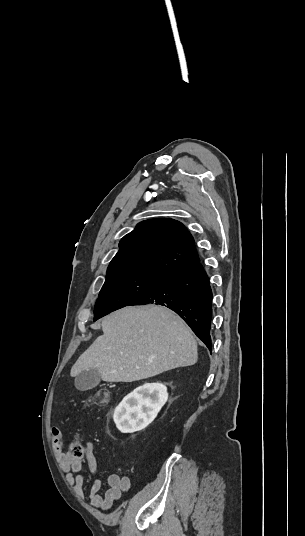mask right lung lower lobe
<instances>
[{
    "label": "right lung lower lobe",
    "instance_id": "98d812e1",
    "mask_svg": "<svg viewBox=\"0 0 305 536\" xmlns=\"http://www.w3.org/2000/svg\"><path fill=\"white\" fill-rule=\"evenodd\" d=\"M149 303L175 311L211 351L212 291L200 261L165 276L130 305Z\"/></svg>",
    "mask_w": 305,
    "mask_h": 536
}]
</instances>
